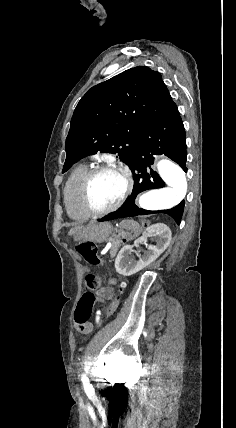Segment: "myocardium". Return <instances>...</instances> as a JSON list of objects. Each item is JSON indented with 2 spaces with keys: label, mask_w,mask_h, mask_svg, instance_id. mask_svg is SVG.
<instances>
[{
  "label": "myocardium",
  "mask_w": 236,
  "mask_h": 428,
  "mask_svg": "<svg viewBox=\"0 0 236 428\" xmlns=\"http://www.w3.org/2000/svg\"><path fill=\"white\" fill-rule=\"evenodd\" d=\"M108 170H117L120 171L126 181V189L121 197V199L114 205L106 207V208H97L93 205L90 199V186L94 178L102 172ZM134 190V179L133 174L129 166L125 163L118 161H107L101 164H98L87 172L86 176L82 180L80 186V199L83 207L92 215H105L111 212H114L120 209L126 201L129 199Z\"/></svg>",
  "instance_id": "f54148a6"
}]
</instances>
